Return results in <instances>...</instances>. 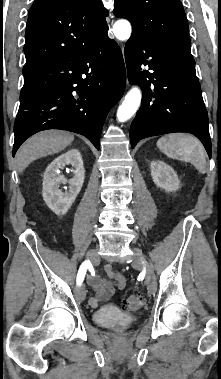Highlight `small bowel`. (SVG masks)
Instances as JSON below:
<instances>
[{"label":"small bowel","mask_w":221,"mask_h":379,"mask_svg":"<svg viewBox=\"0 0 221 379\" xmlns=\"http://www.w3.org/2000/svg\"><path fill=\"white\" fill-rule=\"evenodd\" d=\"M104 269L108 279L96 275L91 276L88 280L96 294L89 300L93 308H96L101 301L110 299L115 289L122 290L126 285L125 276L116 272L111 264L105 265Z\"/></svg>","instance_id":"1"}]
</instances>
